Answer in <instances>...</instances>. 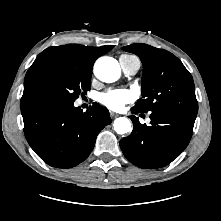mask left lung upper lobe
I'll return each instance as SVG.
<instances>
[{"label": "left lung upper lobe", "mask_w": 221, "mask_h": 221, "mask_svg": "<svg viewBox=\"0 0 221 221\" xmlns=\"http://www.w3.org/2000/svg\"><path fill=\"white\" fill-rule=\"evenodd\" d=\"M122 49L136 54L143 64L142 98L134 110L144 113L164 110L197 116L192 76L175 55L143 43Z\"/></svg>", "instance_id": "left-lung-upper-lobe-1"}]
</instances>
